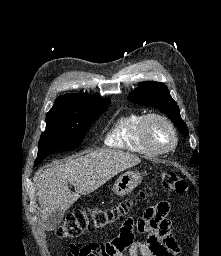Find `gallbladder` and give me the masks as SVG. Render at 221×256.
<instances>
[{"instance_id":"bac80fb5","label":"gallbladder","mask_w":221,"mask_h":256,"mask_svg":"<svg viewBox=\"0 0 221 256\" xmlns=\"http://www.w3.org/2000/svg\"><path fill=\"white\" fill-rule=\"evenodd\" d=\"M64 215H65V212L61 210H56L50 213L47 219L45 220L46 229L53 230L54 228H56L63 220Z\"/></svg>"}]
</instances>
